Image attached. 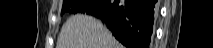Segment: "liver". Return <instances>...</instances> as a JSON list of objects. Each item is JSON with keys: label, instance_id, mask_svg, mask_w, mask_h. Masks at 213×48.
<instances>
[{"label": "liver", "instance_id": "obj_1", "mask_svg": "<svg viewBox=\"0 0 213 48\" xmlns=\"http://www.w3.org/2000/svg\"><path fill=\"white\" fill-rule=\"evenodd\" d=\"M56 48H123L111 32L94 17L77 14L62 26Z\"/></svg>", "mask_w": 213, "mask_h": 48}]
</instances>
